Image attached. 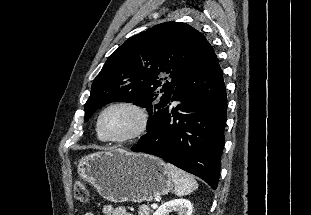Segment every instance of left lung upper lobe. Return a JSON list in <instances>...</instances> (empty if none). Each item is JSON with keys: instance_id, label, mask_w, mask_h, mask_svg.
<instances>
[{"instance_id": "1", "label": "left lung upper lobe", "mask_w": 311, "mask_h": 215, "mask_svg": "<svg viewBox=\"0 0 311 215\" xmlns=\"http://www.w3.org/2000/svg\"><path fill=\"white\" fill-rule=\"evenodd\" d=\"M206 38L181 22H165L125 41L106 61L85 104V121L111 102H133L149 114L147 131L169 102Z\"/></svg>"}]
</instances>
